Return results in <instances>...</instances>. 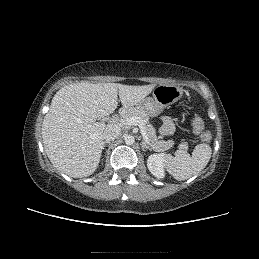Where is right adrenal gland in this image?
Segmentation results:
<instances>
[{
	"label": "right adrenal gland",
	"instance_id": "obj_1",
	"mask_svg": "<svg viewBox=\"0 0 259 259\" xmlns=\"http://www.w3.org/2000/svg\"><path fill=\"white\" fill-rule=\"evenodd\" d=\"M108 143H110V142H107V141L104 142V144H103V149H104V147L106 146V144H108Z\"/></svg>",
	"mask_w": 259,
	"mask_h": 259
}]
</instances>
